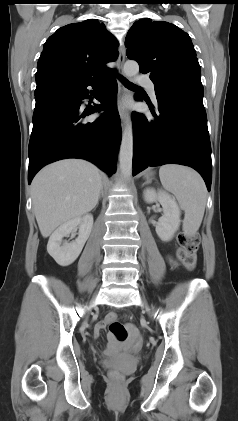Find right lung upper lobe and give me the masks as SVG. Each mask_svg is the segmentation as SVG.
<instances>
[{
  "label": "right lung upper lobe",
  "mask_w": 238,
  "mask_h": 421,
  "mask_svg": "<svg viewBox=\"0 0 238 421\" xmlns=\"http://www.w3.org/2000/svg\"><path fill=\"white\" fill-rule=\"evenodd\" d=\"M118 43L103 23L88 19L59 28L44 44L36 81L89 80L108 75L106 63L116 60Z\"/></svg>",
  "instance_id": "obj_1"
}]
</instances>
